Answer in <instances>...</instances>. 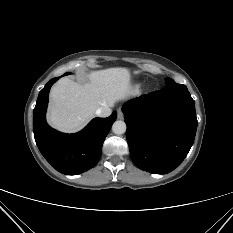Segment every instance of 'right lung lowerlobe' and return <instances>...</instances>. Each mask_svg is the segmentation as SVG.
<instances>
[{
  "label": "right lung lower lobe",
  "mask_w": 233,
  "mask_h": 233,
  "mask_svg": "<svg viewBox=\"0 0 233 233\" xmlns=\"http://www.w3.org/2000/svg\"><path fill=\"white\" fill-rule=\"evenodd\" d=\"M59 78L51 79L40 91L33 111V132L36 144L45 159L57 171L77 175L94 167L100 159L102 145L117 117L114 111L107 118H95L76 134H63L48 126L45 112L51 86Z\"/></svg>",
  "instance_id": "right-lung-lower-lobe-1"
}]
</instances>
